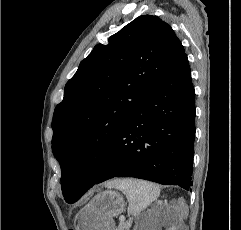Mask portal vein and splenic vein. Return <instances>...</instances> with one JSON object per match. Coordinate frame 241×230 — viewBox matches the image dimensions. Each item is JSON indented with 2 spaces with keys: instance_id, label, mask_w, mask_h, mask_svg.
<instances>
[{
  "instance_id": "obj_1",
  "label": "portal vein and splenic vein",
  "mask_w": 241,
  "mask_h": 230,
  "mask_svg": "<svg viewBox=\"0 0 241 230\" xmlns=\"http://www.w3.org/2000/svg\"><path fill=\"white\" fill-rule=\"evenodd\" d=\"M119 220H120V223H122L125 221V217L122 215V216H120Z\"/></svg>"
}]
</instances>
